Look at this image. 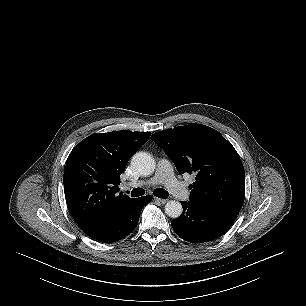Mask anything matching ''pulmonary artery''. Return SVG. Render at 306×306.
Segmentation results:
<instances>
[{"mask_svg": "<svg viewBox=\"0 0 306 306\" xmlns=\"http://www.w3.org/2000/svg\"><path fill=\"white\" fill-rule=\"evenodd\" d=\"M157 184H164L167 189L179 200H186L189 198V191L180 182L173 171L172 164L169 160L163 158L158 162L155 175L146 181L125 183L124 187H137V186H154Z\"/></svg>", "mask_w": 306, "mask_h": 306, "instance_id": "e3ab8cb5", "label": "pulmonary artery"}]
</instances>
